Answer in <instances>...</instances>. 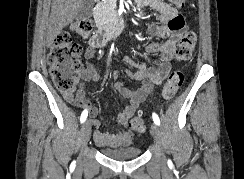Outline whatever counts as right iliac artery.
I'll return each mask as SVG.
<instances>
[{
  "mask_svg": "<svg viewBox=\"0 0 244 179\" xmlns=\"http://www.w3.org/2000/svg\"><path fill=\"white\" fill-rule=\"evenodd\" d=\"M87 116H88V111L84 110L81 114V117H80L81 123H83L86 120Z\"/></svg>",
  "mask_w": 244,
  "mask_h": 179,
  "instance_id": "right-iliac-artery-1",
  "label": "right iliac artery"
}]
</instances>
